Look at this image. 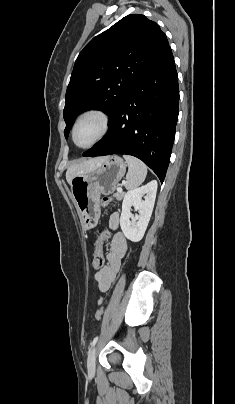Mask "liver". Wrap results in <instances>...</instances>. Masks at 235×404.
I'll return each instance as SVG.
<instances>
[{
  "mask_svg": "<svg viewBox=\"0 0 235 404\" xmlns=\"http://www.w3.org/2000/svg\"><path fill=\"white\" fill-rule=\"evenodd\" d=\"M105 159L106 157H99L72 164L66 172L67 182L70 184L74 177L91 171L99 166Z\"/></svg>",
  "mask_w": 235,
  "mask_h": 404,
  "instance_id": "liver-1",
  "label": "liver"
}]
</instances>
